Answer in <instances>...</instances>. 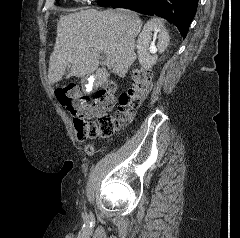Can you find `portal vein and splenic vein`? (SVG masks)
Masks as SVG:
<instances>
[{"label": "portal vein and splenic vein", "mask_w": 240, "mask_h": 238, "mask_svg": "<svg viewBox=\"0 0 240 238\" xmlns=\"http://www.w3.org/2000/svg\"><path fill=\"white\" fill-rule=\"evenodd\" d=\"M105 62L107 63V65H111L112 61L110 58L106 57Z\"/></svg>", "instance_id": "portal-vein-and-splenic-vein-1"}]
</instances>
